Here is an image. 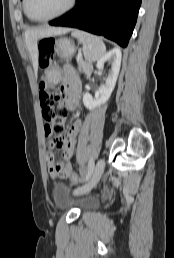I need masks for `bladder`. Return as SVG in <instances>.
Returning <instances> with one entry per match:
<instances>
[{
    "label": "bladder",
    "mask_w": 174,
    "mask_h": 258,
    "mask_svg": "<svg viewBox=\"0 0 174 258\" xmlns=\"http://www.w3.org/2000/svg\"><path fill=\"white\" fill-rule=\"evenodd\" d=\"M53 198L57 205L63 207L73 206L81 212L92 210L98 205V200L95 197L74 199L69 186L61 181L56 182L53 186Z\"/></svg>",
    "instance_id": "obj_1"
}]
</instances>
